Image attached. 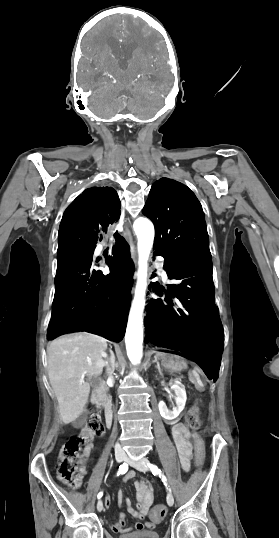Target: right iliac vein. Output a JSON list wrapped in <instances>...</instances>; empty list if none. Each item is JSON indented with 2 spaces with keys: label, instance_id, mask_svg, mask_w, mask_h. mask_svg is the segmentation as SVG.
Wrapping results in <instances>:
<instances>
[{
  "label": "right iliac vein",
  "instance_id": "63e3f726",
  "mask_svg": "<svg viewBox=\"0 0 279 538\" xmlns=\"http://www.w3.org/2000/svg\"><path fill=\"white\" fill-rule=\"evenodd\" d=\"M115 459H116V461H117L118 463H120V462H122V461L125 459V454H124L123 452H117V453L115 454ZM102 509H103V502H102V500H99V501L97 502V510H98L99 512H101Z\"/></svg>",
  "mask_w": 279,
  "mask_h": 538
}]
</instances>
